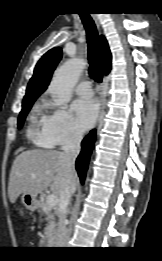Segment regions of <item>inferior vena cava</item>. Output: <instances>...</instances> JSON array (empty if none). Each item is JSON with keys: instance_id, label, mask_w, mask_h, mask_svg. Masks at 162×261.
I'll return each instance as SVG.
<instances>
[{"instance_id": "1", "label": "inferior vena cava", "mask_w": 162, "mask_h": 261, "mask_svg": "<svg viewBox=\"0 0 162 261\" xmlns=\"http://www.w3.org/2000/svg\"><path fill=\"white\" fill-rule=\"evenodd\" d=\"M82 140V133L75 131L71 134L68 141L62 146L64 158L69 167L74 168L76 157L80 152V143ZM75 192V186H69L65 189L61 195L62 210L59 216V247H66L68 242V230L66 228V216L68 213V205L71 200V196Z\"/></svg>"}]
</instances>
